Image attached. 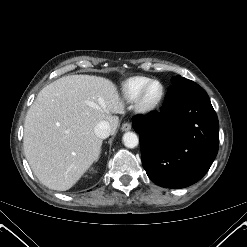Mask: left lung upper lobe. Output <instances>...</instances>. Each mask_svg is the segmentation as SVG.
<instances>
[{"mask_svg": "<svg viewBox=\"0 0 247 247\" xmlns=\"http://www.w3.org/2000/svg\"><path fill=\"white\" fill-rule=\"evenodd\" d=\"M171 81H172V85H189V84L195 83V82H193L189 79L183 78L181 76H175L171 79Z\"/></svg>", "mask_w": 247, "mask_h": 247, "instance_id": "obj_1", "label": "left lung upper lobe"}]
</instances>
